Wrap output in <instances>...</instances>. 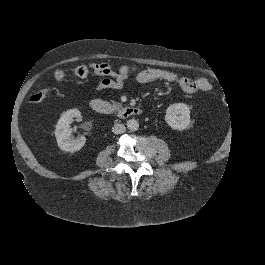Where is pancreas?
<instances>
[{
	"mask_svg": "<svg viewBox=\"0 0 265 265\" xmlns=\"http://www.w3.org/2000/svg\"><path fill=\"white\" fill-rule=\"evenodd\" d=\"M111 103L116 107V108H121L122 107V104L119 103V102H116L114 100H111Z\"/></svg>",
	"mask_w": 265,
	"mask_h": 265,
	"instance_id": "1",
	"label": "pancreas"
}]
</instances>
